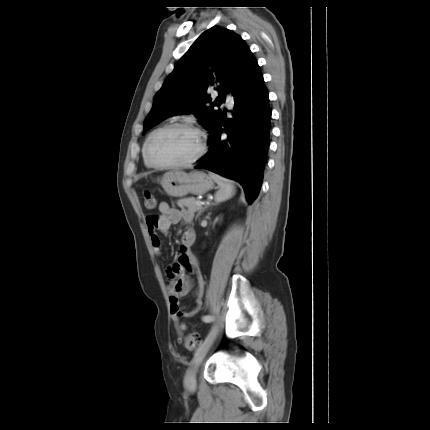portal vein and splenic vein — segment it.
<instances>
[{
    "label": "portal vein and splenic vein",
    "instance_id": "1",
    "mask_svg": "<svg viewBox=\"0 0 430 430\" xmlns=\"http://www.w3.org/2000/svg\"><path fill=\"white\" fill-rule=\"evenodd\" d=\"M205 203L204 202H202V201H196V205H198V206H202V205H204Z\"/></svg>",
    "mask_w": 430,
    "mask_h": 430
}]
</instances>
